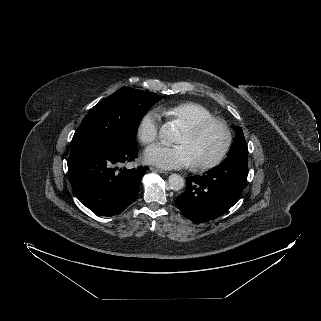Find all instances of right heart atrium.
I'll list each match as a JSON object with an SVG mask.
<instances>
[{"label":"right heart atrium","mask_w":321,"mask_h":321,"mask_svg":"<svg viewBox=\"0 0 321 321\" xmlns=\"http://www.w3.org/2000/svg\"><path fill=\"white\" fill-rule=\"evenodd\" d=\"M159 113L156 110L147 112L141 118L137 127V136L143 144L155 141L159 135Z\"/></svg>","instance_id":"obj_1"}]
</instances>
